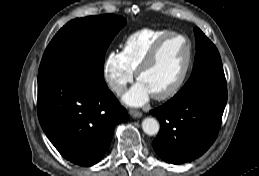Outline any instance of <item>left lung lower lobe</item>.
<instances>
[{
	"mask_svg": "<svg viewBox=\"0 0 259 176\" xmlns=\"http://www.w3.org/2000/svg\"><path fill=\"white\" fill-rule=\"evenodd\" d=\"M226 102V86L204 84L151 110L161 126L153 141L155 152L173 164L204 154L217 137Z\"/></svg>",
	"mask_w": 259,
	"mask_h": 176,
	"instance_id": "0a47b994",
	"label": "left lung lower lobe"
}]
</instances>
